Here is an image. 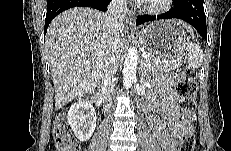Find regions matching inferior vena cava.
Segmentation results:
<instances>
[{
	"label": "inferior vena cava",
	"mask_w": 231,
	"mask_h": 151,
	"mask_svg": "<svg viewBox=\"0 0 231 151\" xmlns=\"http://www.w3.org/2000/svg\"><path fill=\"white\" fill-rule=\"evenodd\" d=\"M127 0H112L108 5L106 13L109 33L113 36L119 32L124 24V18L127 14ZM120 60V49L116 43H111L107 51V58L102 79V91L104 98V112H109L112 106L111 95L115 88L114 76L117 72Z\"/></svg>",
	"instance_id": "602c4592"
}]
</instances>
